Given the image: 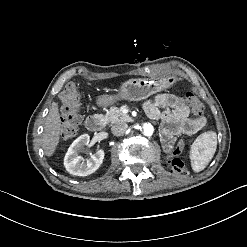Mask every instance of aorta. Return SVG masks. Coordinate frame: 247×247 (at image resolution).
<instances>
[{"label": "aorta", "mask_w": 247, "mask_h": 247, "mask_svg": "<svg viewBox=\"0 0 247 247\" xmlns=\"http://www.w3.org/2000/svg\"><path fill=\"white\" fill-rule=\"evenodd\" d=\"M154 132V127L151 123H144L142 125V133L145 136H151Z\"/></svg>", "instance_id": "762f6f07"}]
</instances>
